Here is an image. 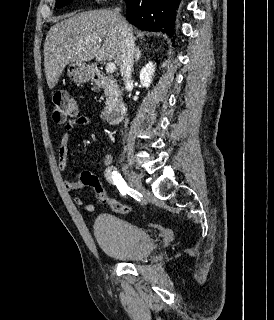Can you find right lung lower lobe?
I'll return each instance as SVG.
<instances>
[{
  "instance_id": "1",
  "label": "right lung lower lobe",
  "mask_w": 274,
  "mask_h": 320,
  "mask_svg": "<svg viewBox=\"0 0 274 320\" xmlns=\"http://www.w3.org/2000/svg\"><path fill=\"white\" fill-rule=\"evenodd\" d=\"M126 19L142 30L160 31L173 36V23L180 0H124Z\"/></svg>"
}]
</instances>
